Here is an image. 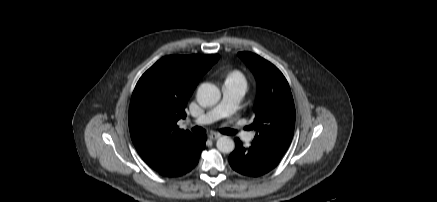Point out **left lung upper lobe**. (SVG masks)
<instances>
[{
	"label": "left lung upper lobe",
	"instance_id": "obj_1",
	"mask_svg": "<svg viewBox=\"0 0 437 202\" xmlns=\"http://www.w3.org/2000/svg\"><path fill=\"white\" fill-rule=\"evenodd\" d=\"M239 57L253 72L257 81L254 106L256 130L251 146L278 164L290 145L295 126V107L289 84L280 70L264 58L240 52Z\"/></svg>",
	"mask_w": 437,
	"mask_h": 202
}]
</instances>
